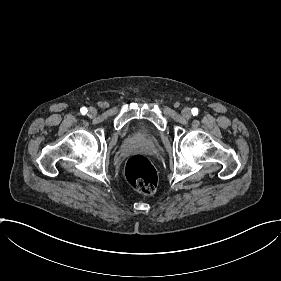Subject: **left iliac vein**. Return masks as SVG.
Listing matches in <instances>:
<instances>
[{
  "instance_id": "4c4485c4",
  "label": "left iliac vein",
  "mask_w": 281,
  "mask_h": 281,
  "mask_svg": "<svg viewBox=\"0 0 281 281\" xmlns=\"http://www.w3.org/2000/svg\"><path fill=\"white\" fill-rule=\"evenodd\" d=\"M191 109L190 108H188V107H185V108H183V110H182V116H183V118H185V119H188V118H190L191 117Z\"/></svg>"
}]
</instances>
